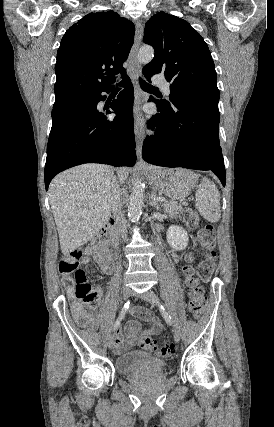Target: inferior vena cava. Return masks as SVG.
<instances>
[{"instance_id":"obj_1","label":"inferior vena cava","mask_w":274,"mask_h":427,"mask_svg":"<svg viewBox=\"0 0 274 427\" xmlns=\"http://www.w3.org/2000/svg\"><path fill=\"white\" fill-rule=\"evenodd\" d=\"M111 208L114 215L115 223L117 225V229L118 231H120L123 239H126L127 227L126 219L124 217V200L122 190H120L119 188V184L118 186H116V190L112 194Z\"/></svg>"}]
</instances>
